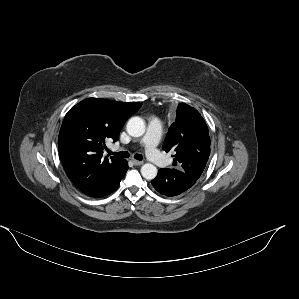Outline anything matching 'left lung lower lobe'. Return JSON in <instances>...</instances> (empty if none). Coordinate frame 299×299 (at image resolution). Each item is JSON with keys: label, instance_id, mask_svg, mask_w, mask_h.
Here are the masks:
<instances>
[{"label": "left lung lower lobe", "instance_id": "1", "mask_svg": "<svg viewBox=\"0 0 299 299\" xmlns=\"http://www.w3.org/2000/svg\"><path fill=\"white\" fill-rule=\"evenodd\" d=\"M153 187L162 195L177 196L192 187L196 180L181 170L164 168L158 171L155 179L151 180Z\"/></svg>", "mask_w": 299, "mask_h": 299}]
</instances>
